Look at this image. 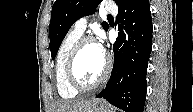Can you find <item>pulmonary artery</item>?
Masks as SVG:
<instances>
[{
    "label": "pulmonary artery",
    "instance_id": "e3ab8cb5",
    "mask_svg": "<svg viewBox=\"0 0 193 112\" xmlns=\"http://www.w3.org/2000/svg\"><path fill=\"white\" fill-rule=\"evenodd\" d=\"M105 9L106 11H108L110 14H116L117 13V7L113 4V3H106L105 5ZM89 17L85 16V17H81L80 19H78L74 25H73V30L79 34H82L86 27H87V23H88Z\"/></svg>",
    "mask_w": 193,
    "mask_h": 112
}]
</instances>
